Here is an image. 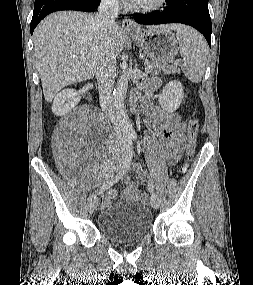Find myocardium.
I'll use <instances>...</instances> for the list:
<instances>
[{"mask_svg":"<svg viewBox=\"0 0 253 285\" xmlns=\"http://www.w3.org/2000/svg\"><path fill=\"white\" fill-rule=\"evenodd\" d=\"M166 2L167 0H155L154 2L148 4H136L132 2L130 4V8L137 12H153L161 9Z\"/></svg>","mask_w":253,"mask_h":285,"instance_id":"myocardium-1","label":"myocardium"}]
</instances>
